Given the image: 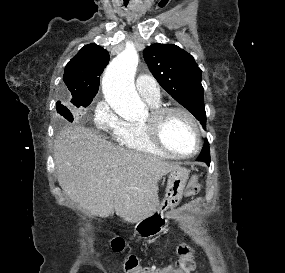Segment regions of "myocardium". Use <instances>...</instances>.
<instances>
[{
  "mask_svg": "<svg viewBox=\"0 0 285 273\" xmlns=\"http://www.w3.org/2000/svg\"><path fill=\"white\" fill-rule=\"evenodd\" d=\"M171 113H180L188 118L193 124L196 134V145L194 150L189 154H180L169 149L161 137V124L163 119ZM143 127L151 142L166 154L181 159H188L196 156L202 147V127L198 119L187 109L180 106H158L154 107L150 113L148 121L143 123Z\"/></svg>",
  "mask_w": 285,
  "mask_h": 273,
  "instance_id": "f54148a6",
  "label": "myocardium"
}]
</instances>
